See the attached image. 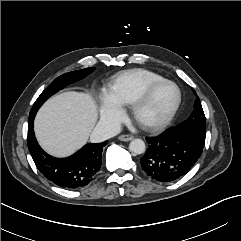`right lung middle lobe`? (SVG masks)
I'll use <instances>...</instances> for the list:
<instances>
[{
    "label": "right lung middle lobe",
    "mask_w": 241,
    "mask_h": 241,
    "mask_svg": "<svg viewBox=\"0 0 241 241\" xmlns=\"http://www.w3.org/2000/svg\"><path fill=\"white\" fill-rule=\"evenodd\" d=\"M95 70L94 67L86 68L82 70L68 72L56 78L38 97L35 101L30 114H34L38 111L40 106L53 94L64 88L66 85L76 82L85 78L87 75Z\"/></svg>",
    "instance_id": "1"
}]
</instances>
